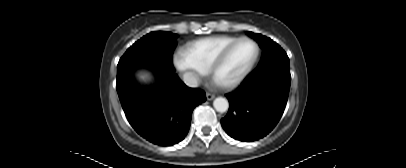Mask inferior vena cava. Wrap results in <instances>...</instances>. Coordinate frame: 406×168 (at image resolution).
I'll return each instance as SVG.
<instances>
[{
	"instance_id": "inferior-vena-cava-1",
	"label": "inferior vena cava",
	"mask_w": 406,
	"mask_h": 168,
	"mask_svg": "<svg viewBox=\"0 0 406 168\" xmlns=\"http://www.w3.org/2000/svg\"><path fill=\"white\" fill-rule=\"evenodd\" d=\"M182 80L189 87H197L199 84V78L192 72H185L182 75Z\"/></svg>"
}]
</instances>
